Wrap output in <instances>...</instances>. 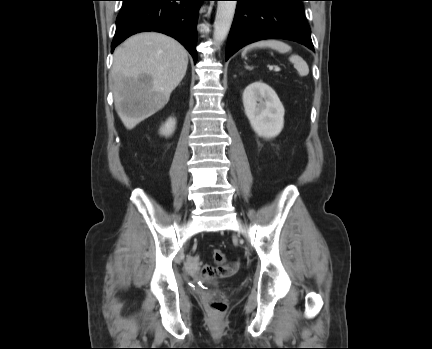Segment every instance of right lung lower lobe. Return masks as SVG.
I'll list each match as a JSON object with an SVG mask.
<instances>
[{"instance_id":"obj_1","label":"right lung lower lobe","mask_w":432,"mask_h":349,"mask_svg":"<svg viewBox=\"0 0 432 349\" xmlns=\"http://www.w3.org/2000/svg\"><path fill=\"white\" fill-rule=\"evenodd\" d=\"M116 19V32L111 44L114 48L129 36L156 31L167 34L181 44L197 59V18L201 1L207 0H122Z\"/></svg>"}]
</instances>
